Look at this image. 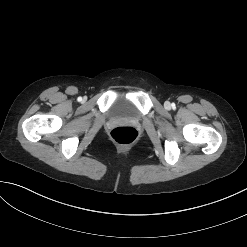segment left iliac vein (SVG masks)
<instances>
[{
    "label": "left iliac vein",
    "instance_id": "left-iliac-vein-1",
    "mask_svg": "<svg viewBox=\"0 0 247 247\" xmlns=\"http://www.w3.org/2000/svg\"><path fill=\"white\" fill-rule=\"evenodd\" d=\"M165 107L167 108V109H169L170 107H171V105H170V103L169 102H165Z\"/></svg>",
    "mask_w": 247,
    "mask_h": 247
}]
</instances>
